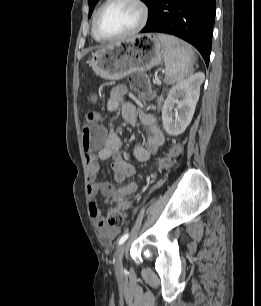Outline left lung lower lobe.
<instances>
[{"label": "left lung lower lobe", "mask_w": 261, "mask_h": 306, "mask_svg": "<svg viewBox=\"0 0 261 306\" xmlns=\"http://www.w3.org/2000/svg\"><path fill=\"white\" fill-rule=\"evenodd\" d=\"M144 32L175 35L192 44L209 64L215 0H151Z\"/></svg>", "instance_id": "0a47b994"}]
</instances>
